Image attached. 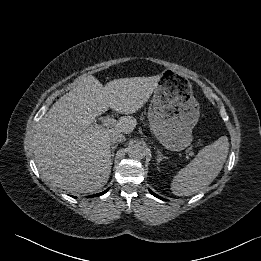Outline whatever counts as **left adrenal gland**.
<instances>
[{"label":"left adrenal gland","mask_w":261,"mask_h":261,"mask_svg":"<svg viewBox=\"0 0 261 261\" xmlns=\"http://www.w3.org/2000/svg\"><path fill=\"white\" fill-rule=\"evenodd\" d=\"M157 154V164H159L162 160L167 159V157L164 156L159 149H157Z\"/></svg>","instance_id":"a2214340"}]
</instances>
